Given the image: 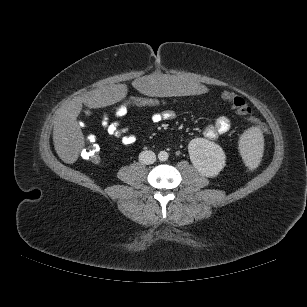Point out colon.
I'll use <instances>...</instances> for the list:
<instances>
[{
    "mask_svg": "<svg viewBox=\"0 0 307 307\" xmlns=\"http://www.w3.org/2000/svg\"><path fill=\"white\" fill-rule=\"evenodd\" d=\"M222 99L228 102L234 111L245 118L252 124L259 126L264 132H267V127L258 122L253 116L251 107L240 96L232 92H224ZM189 98L185 97H152L146 95H135L120 101L111 111L108 112L111 119L127 114L130 108L133 107H159L171 103L189 102ZM83 157L94 163L101 161L100 148L96 142L94 135H89L85 140V145L82 150Z\"/></svg>",
    "mask_w": 307,
    "mask_h": 307,
    "instance_id": "obj_1",
    "label": "colon"
}]
</instances>
